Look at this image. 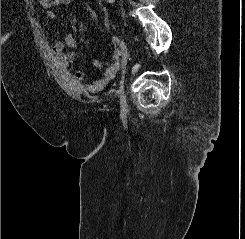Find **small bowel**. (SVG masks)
<instances>
[{
    "label": "small bowel",
    "mask_w": 245,
    "mask_h": 239,
    "mask_svg": "<svg viewBox=\"0 0 245 239\" xmlns=\"http://www.w3.org/2000/svg\"><path fill=\"white\" fill-rule=\"evenodd\" d=\"M70 2L71 0H40L41 6L48 10V16L51 18L55 17V11L53 10L55 6L68 5ZM64 45H67L73 50L76 49L78 43L75 36L73 34H68L65 37L64 42L56 41L53 45L54 53L58 58L61 67L65 70H69L76 59V53L74 51H64ZM111 60V63L105 68L99 78L85 85V89L88 92L97 93L102 91L115 78L120 70V56L118 51L112 53ZM90 64L93 68H102V62L97 58H92ZM72 78L74 82L82 83L85 79V73L81 70H76L73 73Z\"/></svg>",
    "instance_id": "c3829d8e"
}]
</instances>
